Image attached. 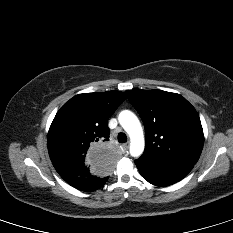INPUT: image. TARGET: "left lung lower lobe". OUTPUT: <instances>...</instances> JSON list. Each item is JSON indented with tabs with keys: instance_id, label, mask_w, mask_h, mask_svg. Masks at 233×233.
I'll use <instances>...</instances> for the list:
<instances>
[{
	"instance_id": "obj_1",
	"label": "left lung lower lobe",
	"mask_w": 233,
	"mask_h": 233,
	"mask_svg": "<svg viewBox=\"0 0 233 233\" xmlns=\"http://www.w3.org/2000/svg\"><path fill=\"white\" fill-rule=\"evenodd\" d=\"M135 164L145 180L160 187L182 180L194 166L185 162H155L141 157L135 160Z\"/></svg>"
}]
</instances>
